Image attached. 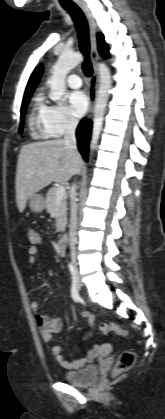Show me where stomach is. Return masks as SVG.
I'll use <instances>...</instances> for the list:
<instances>
[{
	"instance_id": "stomach-1",
	"label": "stomach",
	"mask_w": 165,
	"mask_h": 419,
	"mask_svg": "<svg viewBox=\"0 0 165 419\" xmlns=\"http://www.w3.org/2000/svg\"><path fill=\"white\" fill-rule=\"evenodd\" d=\"M29 207L33 212L40 213L45 208V200L42 195L34 194L29 198Z\"/></svg>"
}]
</instances>
